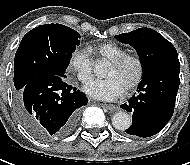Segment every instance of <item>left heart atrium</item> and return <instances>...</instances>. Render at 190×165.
<instances>
[{
    "mask_svg": "<svg viewBox=\"0 0 190 165\" xmlns=\"http://www.w3.org/2000/svg\"><path fill=\"white\" fill-rule=\"evenodd\" d=\"M84 90L93 98L114 100L124 93L125 88L116 78H107L89 83Z\"/></svg>",
    "mask_w": 190,
    "mask_h": 165,
    "instance_id": "39dd6f15",
    "label": "left heart atrium"
}]
</instances>
